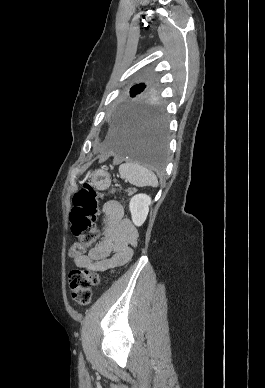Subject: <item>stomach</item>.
<instances>
[{
    "instance_id": "stomach-1",
    "label": "stomach",
    "mask_w": 265,
    "mask_h": 388,
    "mask_svg": "<svg viewBox=\"0 0 265 388\" xmlns=\"http://www.w3.org/2000/svg\"><path fill=\"white\" fill-rule=\"evenodd\" d=\"M90 178L92 186L97 190H105L111 184L110 174L104 169L93 172Z\"/></svg>"
}]
</instances>
